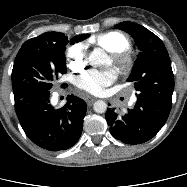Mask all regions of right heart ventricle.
I'll return each mask as SVG.
<instances>
[{
    "label": "right heart ventricle",
    "instance_id": "e07e8e85",
    "mask_svg": "<svg viewBox=\"0 0 187 187\" xmlns=\"http://www.w3.org/2000/svg\"><path fill=\"white\" fill-rule=\"evenodd\" d=\"M93 42L110 53L126 52L131 47L129 39L117 31L102 33Z\"/></svg>",
    "mask_w": 187,
    "mask_h": 187
}]
</instances>
